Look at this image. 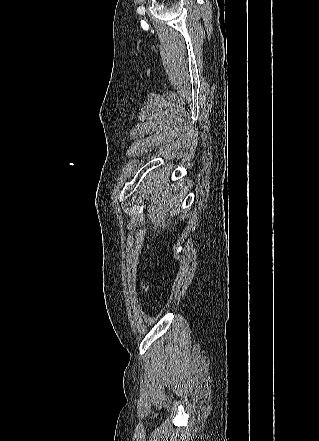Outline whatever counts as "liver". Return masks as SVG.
Masks as SVG:
<instances>
[{"mask_svg": "<svg viewBox=\"0 0 319 441\" xmlns=\"http://www.w3.org/2000/svg\"><path fill=\"white\" fill-rule=\"evenodd\" d=\"M168 177L169 173L165 167L150 173L141 185V198L149 201L147 218L154 224L153 230L157 232L156 236L161 232V227L163 229L166 227L165 218L172 215L182 197L180 183L164 187Z\"/></svg>", "mask_w": 319, "mask_h": 441, "instance_id": "obj_1", "label": "liver"}]
</instances>
